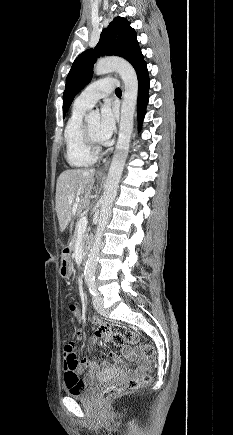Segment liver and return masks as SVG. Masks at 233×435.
<instances>
[{"label":"liver","instance_id":"1","mask_svg":"<svg viewBox=\"0 0 233 435\" xmlns=\"http://www.w3.org/2000/svg\"><path fill=\"white\" fill-rule=\"evenodd\" d=\"M94 174V169H71L63 171L58 177L55 202L61 231L69 226L76 213L80 214L89 206ZM76 198H80L77 205Z\"/></svg>","mask_w":233,"mask_h":435}]
</instances>
